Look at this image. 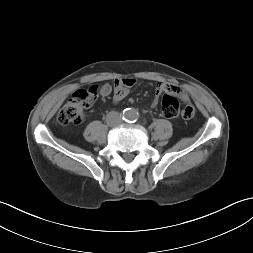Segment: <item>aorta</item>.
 <instances>
[{
  "instance_id": "1",
  "label": "aorta",
  "mask_w": 253,
  "mask_h": 253,
  "mask_svg": "<svg viewBox=\"0 0 253 253\" xmlns=\"http://www.w3.org/2000/svg\"><path fill=\"white\" fill-rule=\"evenodd\" d=\"M124 117L129 121L136 120L138 118V111L133 108H128L124 111Z\"/></svg>"
}]
</instances>
